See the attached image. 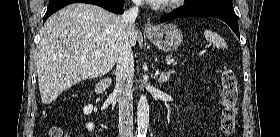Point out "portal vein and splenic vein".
Instances as JSON below:
<instances>
[{
  "instance_id": "1",
  "label": "portal vein and splenic vein",
  "mask_w": 280,
  "mask_h": 137,
  "mask_svg": "<svg viewBox=\"0 0 280 137\" xmlns=\"http://www.w3.org/2000/svg\"><path fill=\"white\" fill-rule=\"evenodd\" d=\"M174 62V59H169V60H167V64H171V63H173Z\"/></svg>"
}]
</instances>
